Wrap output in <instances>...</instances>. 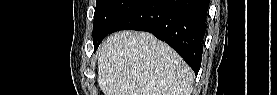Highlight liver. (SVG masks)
<instances>
[{
  "label": "liver",
  "instance_id": "liver-1",
  "mask_svg": "<svg viewBox=\"0 0 277 95\" xmlns=\"http://www.w3.org/2000/svg\"><path fill=\"white\" fill-rule=\"evenodd\" d=\"M98 85L104 95H191L194 74L166 43L125 30L102 43Z\"/></svg>",
  "mask_w": 277,
  "mask_h": 95
}]
</instances>
